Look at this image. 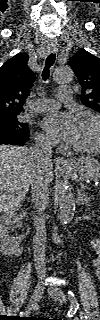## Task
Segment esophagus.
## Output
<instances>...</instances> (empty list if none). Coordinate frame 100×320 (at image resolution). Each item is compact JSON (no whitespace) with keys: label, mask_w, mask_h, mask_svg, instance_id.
<instances>
[{"label":"esophagus","mask_w":100,"mask_h":320,"mask_svg":"<svg viewBox=\"0 0 100 320\" xmlns=\"http://www.w3.org/2000/svg\"><path fill=\"white\" fill-rule=\"evenodd\" d=\"M51 52H57L58 51V45L52 44L50 46ZM56 167L61 169H66L69 166V160L63 157H56L55 159Z\"/></svg>","instance_id":"34e87169"}]
</instances>
